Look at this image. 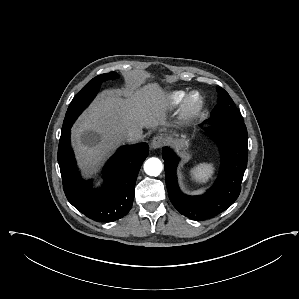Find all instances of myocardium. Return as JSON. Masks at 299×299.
I'll return each mask as SVG.
<instances>
[{"mask_svg": "<svg viewBox=\"0 0 299 299\" xmlns=\"http://www.w3.org/2000/svg\"><path fill=\"white\" fill-rule=\"evenodd\" d=\"M203 104V97L199 92H190L183 99L182 113L187 118L194 117L202 110Z\"/></svg>", "mask_w": 299, "mask_h": 299, "instance_id": "1", "label": "myocardium"}]
</instances>
